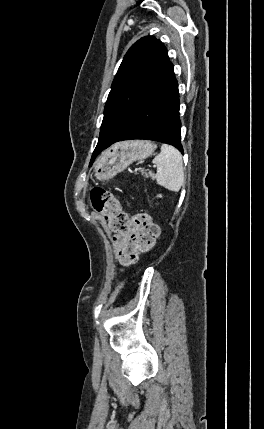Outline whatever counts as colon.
Returning a JSON list of instances; mask_svg holds the SVG:
<instances>
[{"mask_svg":"<svg viewBox=\"0 0 264 429\" xmlns=\"http://www.w3.org/2000/svg\"><path fill=\"white\" fill-rule=\"evenodd\" d=\"M91 203L95 211L103 214L109 229L114 233L130 231V241L119 249V262L124 267L134 265L140 254L151 250L158 237V226L145 212L128 215L121 209L117 197L101 187H94L90 193Z\"/></svg>","mask_w":264,"mask_h":429,"instance_id":"obj_1","label":"colon"}]
</instances>
